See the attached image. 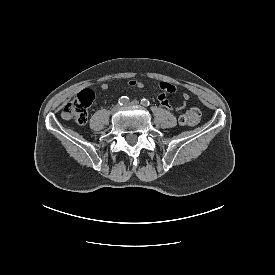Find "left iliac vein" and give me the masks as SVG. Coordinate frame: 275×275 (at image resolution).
<instances>
[{"label": "left iliac vein", "instance_id": "left-iliac-vein-1", "mask_svg": "<svg viewBox=\"0 0 275 275\" xmlns=\"http://www.w3.org/2000/svg\"><path fill=\"white\" fill-rule=\"evenodd\" d=\"M139 103L137 101H132V102H129L127 104H125L126 106H137Z\"/></svg>", "mask_w": 275, "mask_h": 275}]
</instances>
